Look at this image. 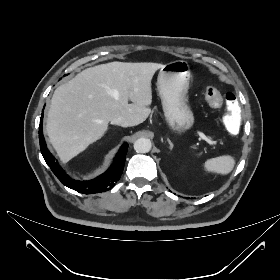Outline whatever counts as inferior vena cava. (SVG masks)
Returning a JSON list of instances; mask_svg holds the SVG:
<instances>
[{
    "label": "inferior vena cava",
    "instance_id": "obj_1",
    "mask_svg": "<svg viewBox=\"0 0 280 280\" xmlns=\"http://www.w3.org/2000/svg\"><path fill=\"white\" fill-rule=\"evenodd\" d=\"M112 124H115V125H119V126H122V127H128L130 126V123L129 121L124 118V117H118V118H115L111 121Z\"/></svg>",
    "mask_w": 280,
    "mask_h": 280
}]
</instances>
